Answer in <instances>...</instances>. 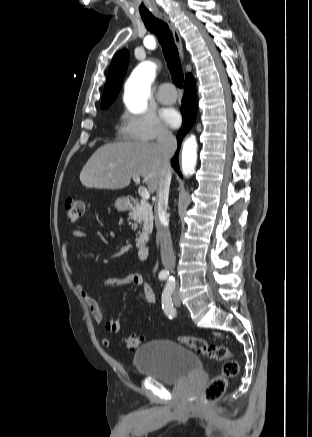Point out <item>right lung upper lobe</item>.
<instances>
[{"label":"right lung upper lobe","instance_id":"cb5924a9","mask_svg":"<svg viewBox=\"0 0 312 437\" xmlns=\"http://www.w3.org/2000/svg\"><path fill=\"white\" fill-rule=\"evenodd\" d=\"M128 62L129 53L126 49L118 52L113 57L101 100L102 108H107L120 91L122 81L126 74Z\"/></svg>","mask_w":312,"mask_h":437}]
</instances>
